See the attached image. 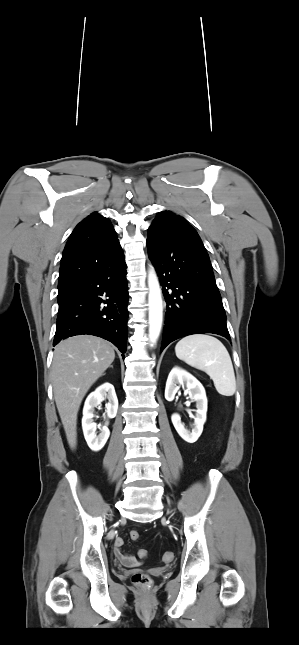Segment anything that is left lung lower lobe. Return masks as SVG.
<instances>
[{"instance_id": "0a47b994", "label": "left lung lower lobe", "mask_w": 299, "mask_h": 645, "mask_svg": "<svg viewBox=\"0 0 299 645\" xmlns=\"http://www.w3.org/2000/svg\"><path fill=\"white\" fill-rule=\"evenodd\" d=\"M147 247L167 303L161 351L191 334L231 340L210 259L196 230L181 222L151 227Z\"/></svg>"}]
</instances>
